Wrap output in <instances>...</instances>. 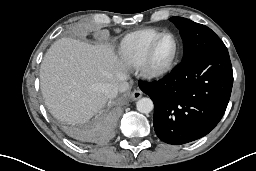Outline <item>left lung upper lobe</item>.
Returning <instances> with one entry per match:
<instances>
[{"instance_id": "5c2ea615", "label": "left lung upper lobe", "mask_w": 256, "mask_h": 171, "mask_svg": "<svg viewBox=\"0 0 256 171\" xmlns=\"http://www.w3.org/2000/svg\"><path fill=\"white\" fill-rule=\"evenodd\" d=\"M171 20L180 29L183 59L206 50L227 49L210 28L183 17H171Z\"/></svg>"}]
</instances>
